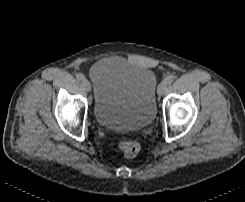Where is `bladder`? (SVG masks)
<instances>
[{
	"instance_id": "1",
	"label": "bladder",
	"mask_w": 245,
	"mask_h": 202,
	"mask_svg": "<svg viewBox=\"0 0 245 202\" xmlns=\"http://www.w3.org/2000/svg\"><path fill=\"white\" fill-rule=\"evenodd\" d=\"M93 116L106 129L130 132L147 128L157 112V78L145 66L113 59L90 70Z\"/></svg>"
}]
</instances>
